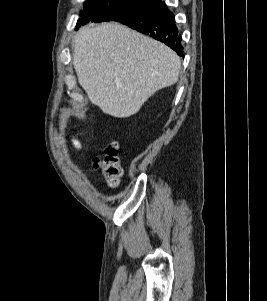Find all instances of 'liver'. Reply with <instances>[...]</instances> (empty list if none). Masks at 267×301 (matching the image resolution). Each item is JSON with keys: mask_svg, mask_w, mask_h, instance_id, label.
Wrapping results in <instances>:
<instances>
[{"mask_svg": "<svg viewBox=\"0 0 267 301\" xmlns=\"http://www.w3.org/2000/svg\"><path fill=\"white\" fill-rule=\"evenodd\" d=\"M80 86L105 114L127 118L178 81L180 57L168 46L118 23L84 26L73 40Z\"/></svg>", "mask_w": 267, "mask_h": 301, "instance_id": "obj_1", "label": "liver"}]
</instances>
